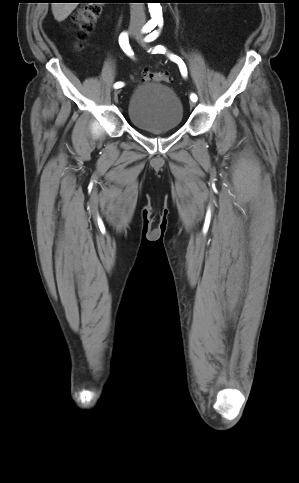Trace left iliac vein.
Wrapping results in <instances>:
<instances>
[{
  "label": "left iliac vein",
  "mask_w": 299,
  "mask_h": 483,
  "mask_svg": "<svg viewBox=\"0 0 299 483\" xmlns=\"http://www.w3.org/2000/svg\"><path fill=\"white\" fill-rule=\"evenodd\" d=\"M137 39H138V41H139V42H140L142 45H145V43H144V41H143V39H142V36H141V35H138ZM189 104H190V106H191V107H194V106H195V102H193V101H190V102H189Z\"/></svg>",
  "instance_id": "left-iliac-vein-1"
}]
</instances>
